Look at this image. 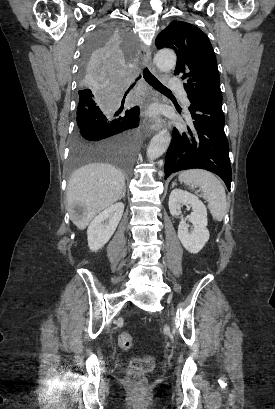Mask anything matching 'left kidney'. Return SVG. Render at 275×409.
Masks as SVG:
<instances>
[{
  "mask_svg": "<svg viewBox=\"0 0 275 409\" xmlns=\"http://www.w3.org/2000/svg\"><path fill=\"white\" fill-rule=\"evenodd\" d=\"M182 205L192 207L193 213L188 221L192 223L194 229L189 233L185 221H181L178 227V239L186 251L199 253L209 241V231L206 229L208 225L206 207L195 194L181 188H174L169 196V211L173 217L180 215Z\"/></svg>",
  "mask_w": 275,
  "mask_h": 409,
  "instance_id": "5707ae66",
  "label": "left kidney"
}]
</instances>
